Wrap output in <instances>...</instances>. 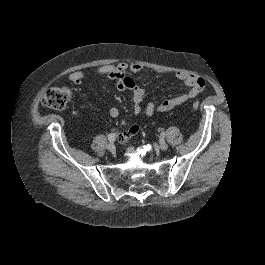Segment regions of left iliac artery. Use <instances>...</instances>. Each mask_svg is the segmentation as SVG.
<instances>
[{"label":"left iliac artery","mask_w":265,"mask_h":265,"mask_svg":"<svg viewBox=\"0 0 265 265\" xmlns=\"http://www.w3.org/2000/svg\"><path fill=\"white\" fill-rule=\"evenodd\" d=\"M161 136L162 137H165L166 136V133L165 132L161 133Z\"/></svg>","instance_id":"44dca946"}]
</instances>
